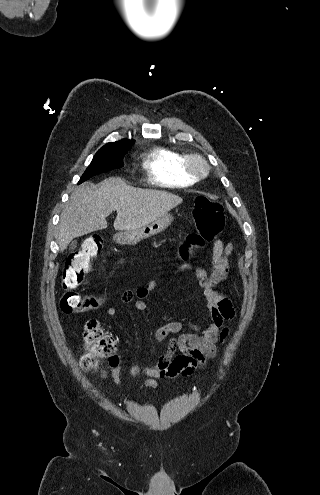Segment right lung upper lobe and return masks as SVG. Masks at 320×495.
Returning a JSON list of instances; mask_svg holds the SVG:
<instances>
[{
  "instance_id": "cb5924a9",
  "label": "right lung upper lobe",
  "mask_w": 320,
  "mask_h": 495,
  "mask_svg": "<svg viewBox=\"0 0 320 495\" xmlns=\"http://www.w3.org/2000/svg\"><path fill=\"white\" fill-rule=\"evenodd\" d=\"M134 140L122 139L116 142H109L102 147V149H122V148H131L134 144Z\"/></svg>"
}]
</instances>
